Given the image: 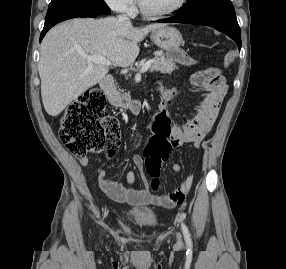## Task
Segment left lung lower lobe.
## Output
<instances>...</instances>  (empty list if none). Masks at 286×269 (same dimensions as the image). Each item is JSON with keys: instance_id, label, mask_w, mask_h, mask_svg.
Wrapping results in <instances>:
<instances>
[{"instance_id": "obj_1", "label": "left lung lower lobe", "mask_w": 286, "mask_h": 269, "mask_svg": "<svg viewBox=\"0 0 286 269\" xmlns=\"http://www.w3.org/2000/svg\"><path fill=\"white\" fill-rule=\"evenodd\" d=\"M160 23H185L206 25L225 33L241 49V33L235 13L210 12L190 16L176 14L174 17L159 20Z\"/></svg>"}]
</instances>
